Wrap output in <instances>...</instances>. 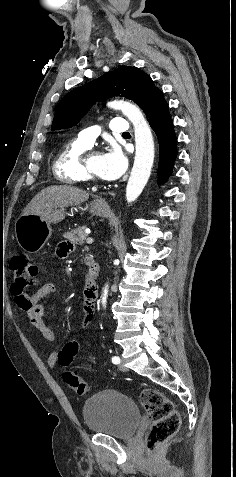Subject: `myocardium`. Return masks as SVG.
Instances as JSON below:
<instances>
[{
	"label": "myocardium",
	"mask_w": 236,
	"mask_h": 477,
	"mask_svg": "<svg viewBox=\"0 0 236 477\" xmlns=\"http://www.w3.org/2000/svg\"><path fill=\"white\" fill-rule=\"evenodd\" d=\"M93 154L99 155V152L98 151H93V152H91L90 155H93ZM83 170H84L86 178L89 182H92V183H103V182H105L104 178L97 176L96 174H94L91 171V169L88 166L87 161L83 162Z\"/></svg>",
	"instance_id": "1"
}]
</instances>
